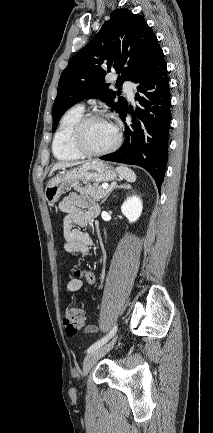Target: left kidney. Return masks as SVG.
Returning a JSON list of instances; mask_svg holds the SVG:
<instances>
[{"label":"left kidney","mask_w":213,"mask_h":433,"mask_svg":"<svg viewBox=\"0 0 213 433\" xmlns=\"http://www.w3.org/2000/svg\"><path fill=\"white\" fill-rule=\"evenodd\" d=\"M142 209V201L137 195L127 197L121 206V212L130 223L136 222L139 219Z\"/></svg>","instance_id":"left-kidney-1"}]
</instances>
